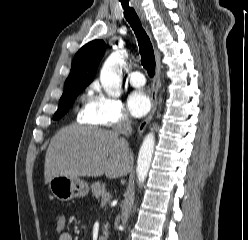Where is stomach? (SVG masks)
Returning <instances> with one entry per match:
<instances>
[{
  "mask_svg": "<svg viewBox=\"0 0 248 240\" xmlns=\"http://www.w3.org/2000/svg\"><path fill=\"white\" fill-rule=\"evenodd\" d=\"M51 193L60 201H69L76 197H84L89 192L88 184L79 178L59 175L49 182Z\"/></svg>",
  "mask_w": 248,
  "mask_h": 240,
  "instance_id": "stomach-1",
  "label": "stomach"
}]
</instances>
